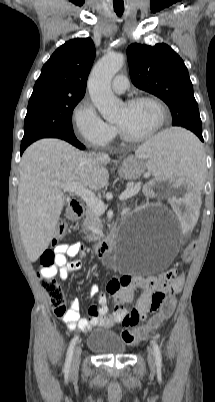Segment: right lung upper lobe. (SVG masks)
<instances>
[{"mask_svg": "<svg viewBox=\"0 0 215 402\" xmlns=\"http://www.w3.org/2000/svg\"><path fill=\"white\" fill-rule=\"evenodd\" d=\"M95 58L90 38H77L60 46L44 64L31 96L50 94L83 98Z\"/></svg>", "mask_w": 215, "mask_h": 402, "instance_id": "cb5924a9", "label": "right lung upper lobe"}]
</instances>
